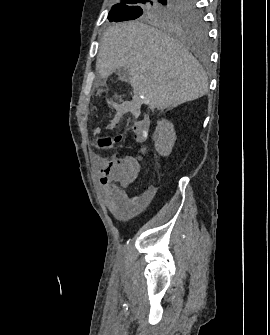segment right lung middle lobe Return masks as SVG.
I'll return each instance as SVG.
<instances>
[{"label": "right lung middle lobe", "instance_id": "1", "mask_svg": "<svg viewBox=\"0 0 270 335\" xmlns=\"http://www.w3.org/2000/svg\"><path fill=\"white\" fill-rule=\"evenodd\" d=\"M195 0H120L110 10V22L140 18L184 39L203 45L207 40L204 13Z\"/></svg>", "mask_w": 270, "mask_h": 335}]
</instances>
